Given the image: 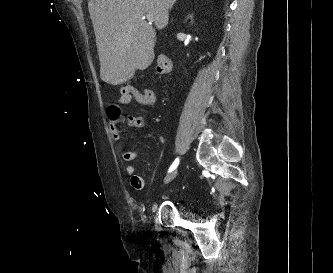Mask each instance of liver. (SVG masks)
Listing matches in <instances>:
<instances>
[{"mask_svg":"<svg viewBox=\"0 0 333 273\" xmlns=\"http://www.w3.org/2000/svg\"><path fill=\"white\" fill-rule=\"evenodd\" d=\"M173 0H89L100 60V77L111 85L133 78L136 70H144L154 60L156 32L143 19L152 18L157 29L169 21Z\"/></svg>","mask_w":333,"mask_h":273,"instance_id":"liver-1","label":"liver"}]
</instances>
